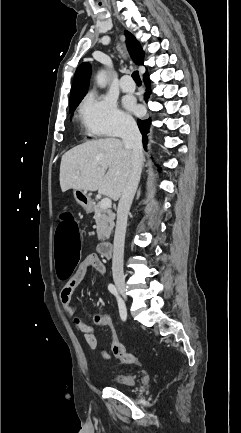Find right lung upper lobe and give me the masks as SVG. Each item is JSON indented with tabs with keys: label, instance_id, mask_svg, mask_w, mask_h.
<instances>
[{
	"label": "right lung upper lobe",
	"instance_id": "cb5924a9",
	"mask_svg": "<svg viewBox=\"0 0 241 433\" xmlns=\"http://www.w3.org/2000/svg\"><path fill=\"white\" fill-rule=\"evenodd\" d=\"M128 51L133 61L142 65L144 60V52L137 39L128 31H125ZM91 74V66L89 63H82L76 70L73 84L70 92V108L80 102L85 96ZM147 72L145 73V75Z\"/></svg>",
	"mask_w": 241,
	"mask_h": 433
}]
</instances>
